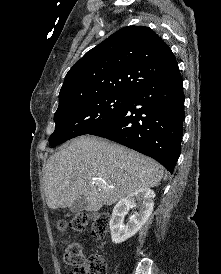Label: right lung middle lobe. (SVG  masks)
Returning a JSON list of instances; mask_svg holds the SVG:
<instances>
[{
	"mask_svg": "<svg viewBox=\"0 0 221 274\" xmlns=\"http://www.w3.org/2000/svg\"><path fill=\"white\" fill-rule=\"evenodd\" d=\"M127 94H109L59 103L54 115L55 131L51 147L77 136L89 134L107 123L131 98Z\"/></svg>",
	"mask_w": 221,
	"mask_h": 274,
	"instance_id": "1",
	"label": "right lung middle lobe"
}]
</instances>
